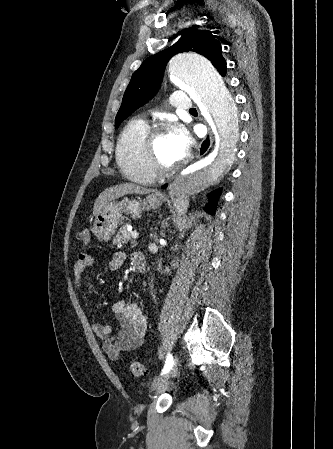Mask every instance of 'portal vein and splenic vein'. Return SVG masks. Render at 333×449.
Here are the masks:
<instances>
[{
  "mask_svg": "<svg viewBox=\"0 0 333 449\" xmlns=\"http://www.w3.org/2000/svg\"><path fill=\"white\" fill-rule=\"evenodd\" d=\"M138 236H139L138 232H136V231H132V232H131V237H132L133 239H137Z\"/></svg>",
  "mask_w": 333,
  "mask_h": 449,
  "instance_id": "1",
  "label": "portal vein and splenic vein"
}]
</instances>
